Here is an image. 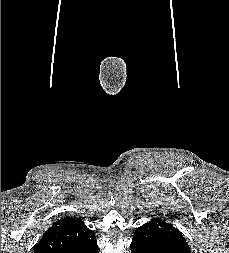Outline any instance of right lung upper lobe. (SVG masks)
Returning a JSON list of instances; mask_svg holds the SVG:
<instances>
[{"instance_id":"cb5924a9","label":"right lung upper lobe","mask_w":229,"mask_h":253,"mask_svg":"<svg viewBox=\"0 0 229 253\" xmlns=\"http://www.w3.org/2000/svg\"><path fill=\"white\" fill-rule=\"evenodd\" d=\"M96 241L94 232L79 218L65 217L56 221L35 245L34 253H72Z\"/></svg>"}]
</instances>
